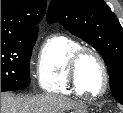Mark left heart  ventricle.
<instances>
[{"label":"left heart ventricle","mask_w":123,"mask_h":113,"mask_svg":"<svg viewBox=\"0 0 123 113\" xmlns=\"http://www.w3.org/2000/svg\"><path fill=\"white\" fill-rule=\"evenodd\" d=\"M79 80L86 93L96 94L103 87V73L97 59L87 54L79 65Z\"/></svg>","instance_id":"1"}]
</instances>
